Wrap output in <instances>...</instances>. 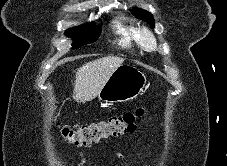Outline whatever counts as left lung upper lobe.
Instances as JSON below:
<instances>
[{
  "instance_id": "1",
  "label": "left lung upper lobe",
  "mask_w": 227,
  "mask_h": 166,
  "mask_svg": "<svg viewBox=\"0 0 227 166\" xmlns=\"http://www.w3.org/2000/svg\"><path fill=\"white\" fill-rule=\"evenodd\" d=\"M131 12L136 18L142 19L154 27L155 22L153 16L149 12L137 8L132 9Z\"/></svg>"
}]
</instances>
